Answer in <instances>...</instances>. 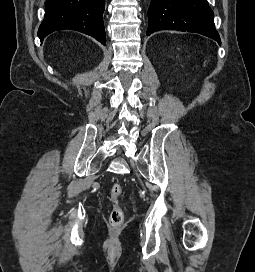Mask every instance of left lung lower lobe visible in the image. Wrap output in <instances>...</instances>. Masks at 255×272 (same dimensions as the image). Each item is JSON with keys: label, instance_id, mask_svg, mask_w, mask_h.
<instances>
[{"label": "left lung lower lobe", "instance_id": "left-lung-lower-lobe-1", "mask_svg": "<svg viewBox=\"0 0 255 272\" xmlns=\"http://www.w3.org/2000/svg\"><path fill=\"white\" fill-rule=\"evenodd\" d=\"M207 0H152L146 35L164 29L195 32L221 44Z\"/></svg>", "mask_w": 255, "mask_h": 272}]
</instances>
